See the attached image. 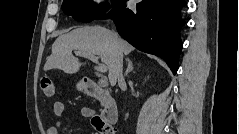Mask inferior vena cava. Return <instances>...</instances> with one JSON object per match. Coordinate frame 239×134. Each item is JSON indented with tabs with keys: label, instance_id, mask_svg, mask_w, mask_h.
Listing matches in <instances>:
<instances>
[{
	"label": "inferior vena cava",
	"instance_id": "inferior-vena-cava-1",
	"mask_svg": "<svg viewBox=\"0 0 239 134\" xmlns=\"http://www.w3.org/2000/svg\"><path fill=\"white\" fill-rule=\"evenodd\" d=\"M122 70H123V53L117 50L115 55L114 72L119 85H121L124 82Z\"/></svg>",
	"mask_w": 239,
	"mask_h": 134
}]
</instances>
